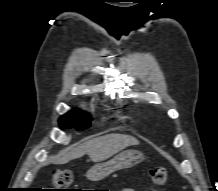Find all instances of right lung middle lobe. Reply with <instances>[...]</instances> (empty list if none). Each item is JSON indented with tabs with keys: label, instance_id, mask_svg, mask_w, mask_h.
<instances>
[{
	"label": "right lung middle lobe",
	"instance_id": "1",
	"mask_svg": "<svg viewBox=\"0 0 218 191\" xmlns=\"http://www.w3.org/2000/svg\"><path fill=\"white\" fill-rule=\"evenodd\" d=\"M90 116L78 109L69 111L59 119V125L62 129L76 128L83 130L90 125Z\"/></svg>",
	"mask_w": 218,
	"mask_h": 191
}]
</instances>
